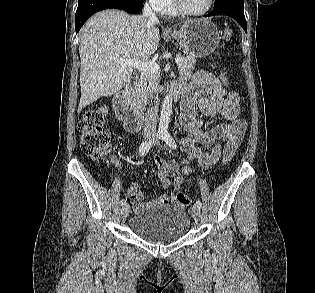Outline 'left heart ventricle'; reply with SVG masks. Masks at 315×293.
<instances>
[{
	"mask_svg": "<svg viewBox=\"0 0 315 293\" xmlns=\"http://www.w3.org/2000/svg\"><path fill=\"white\" fill-rule=\"evenodd\" d=\"M183 6L190 11H200L207 5L208 0H181Z\"/></svg>",
	"mask_w": 315,
	"mask_h": 293,
	"instance_id": "left-heart-ventricle-1",
	"label": "left heart ventricle"
}]
</instances>
